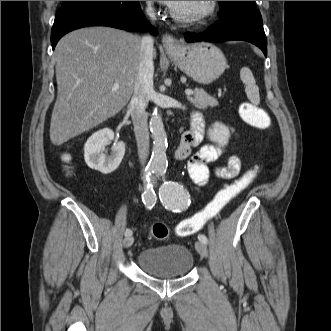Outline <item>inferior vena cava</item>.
<instances>
[{"label":"inferior vena cava","instance_id":"602c4592","mask_svg":"<svg viewBox=\"0 0 331 331\" xmlns=\"http://www.w3.org/2000/svg\"><path fill=\"white\" fill-rule=\"evenodd\" d=\"M151 20H155L153 10H147ZM154 39L151 35L143 36L140 47V64L134 94L131 99V117L137 141L138 156L144 167L149 155V131L146 107L154 93L153 89V52Z\"/></svg>","mask_w":331,"mask_h":331}]
</instances>
